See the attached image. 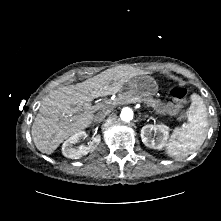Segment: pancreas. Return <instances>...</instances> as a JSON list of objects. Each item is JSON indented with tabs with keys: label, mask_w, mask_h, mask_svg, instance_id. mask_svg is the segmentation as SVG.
<instances>
[{
	"label": "pancreas",
	"mask_w": 221,
	"mask_h": 221,
	"mask_svg": "<svg viewBox=\"0 0 221 221\" xmlns=\"http://www.w3.org/2000/svg\"><path fill=\"white\" fill-rule=\"evenodd\" d=\"M122 97L127 101H131L132 99H138L150 107H155L159 103V100H155L151 96H134L133 94L128 93L126 95H122Z\"/></svg>",
	"instance_id": "obj_1"
}]
</instances>
